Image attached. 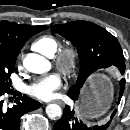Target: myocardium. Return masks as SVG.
<instances>
[{"label": "myocardium", "instance_id": "1", "mask_svg": "<svg viewBox=\"0 0 130 130\" xmlns=\"http://www.w3.org/2000/svg\"><path fill=\"white\" fill-rule=\"evenodd\" d=\"M54 56L56 67L64 74L71 75L77 69L79 50L74 44L68 43L59 47Z\"/></svg>", "mask_w": 130, "mask_h": 130}]
</instances>
